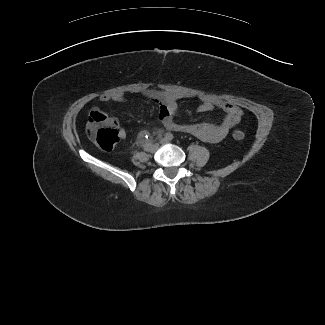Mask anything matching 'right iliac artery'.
Returning <instances> with one entry per match:
<instances>
[{
	"label": "right iliac artery",
	"instance_id": "82829eb1",
	"mask_svg": "<svg viewBox=\"0 0 325 325\" xmlns=\"http://www.w3.org/2000/svg\"><path fill=\"white\" fill-rule=\"evenodd\" d=\"M152 145V141L151 140H148L146 141V143L143 145L144 149L145 150H148V148Z\"/></svg>",
	"mask_w": 325,
	"mask_h": 325
}]
</instances>
